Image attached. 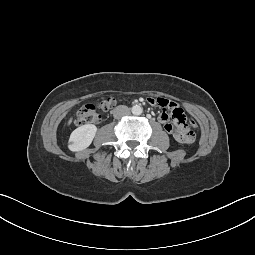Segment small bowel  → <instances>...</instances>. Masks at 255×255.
Returning a JSON list of instances; mask_svg holds the SVG:
<instances>
[{
  "instance_id": "obj_1",
  "label": "small bowel",
  "mask_w": 255,
  "mask_h": 255,
  "mask_svg": "<svg viewBox=\"0 0 255 255\" xmlns=\"http://www.w3.org/2000/svg\"><path fill=\"white\" fill-rule=\"evenodd\" d=\"M145 104L156 110L166 109L170 111L169 114L166 111L160 112L158 119L173 140L179 141L183 145H191L197 139V134L189 126L185 111L178 102L173 99L148 96L145 99Z\"/></svg>"
}]
</instances>
